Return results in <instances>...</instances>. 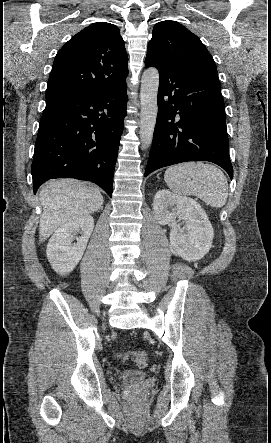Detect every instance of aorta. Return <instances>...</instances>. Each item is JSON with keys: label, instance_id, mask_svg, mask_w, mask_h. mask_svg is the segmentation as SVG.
<instances>
[{"label": "aorta", "instance_id": "aorta-1", "mask_svg": "<svg viewBox=\"0 0 271 443\" xmlns=\"http://www.w3.org/2000/svg\"><path fill=\"white\" fill-rule=\"evenodd\" d=\"M159 72L156 68L145 70L141 78L140 90V142L142 150L150 148L158 114L157 94L159 88Z\"/></svg>", "mask_w": 271, "mask_h": 443}]
</instances>
